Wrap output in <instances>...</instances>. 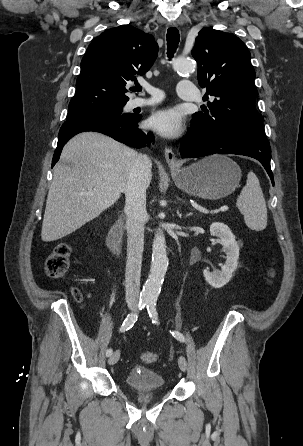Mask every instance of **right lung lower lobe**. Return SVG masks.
<instances>
[{"label": "right lung lower lobe", "instance_id": "obj_1", "mask_svg": "<svg viewBox=\"0 0 303 446\" xmlns=\"http://www.w3.org/2000/svg\"><path fill=\"white\" fill-rule=\"evenodd\" d=\"M141 115L129 117L109 115L103 113H89L68 118L61 126L58 144L55 150L52 167L59 160L61 150L66 142L74 135L84 131H95L106 134L128 146L139 148L149 145L154 137L137 128Z\"/></svg>", "mask_w": 303, "mask_h": 446}]
</instances>
